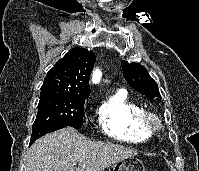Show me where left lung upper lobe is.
I'll return each mask as SVG.
<instances>
[{
	"label": "left lung upper lobe",
	"instance_id": "1",
	"mask_svg": "<svg viewBox=\"0 0 199 171\" xmlns=\"http://www.w3.org/2000/svg\"><path fill=\"white\" fill-rule=\"evenodd\" d=\"M121 65L126 81L135 91L150 99L161 97L157 83L150 77L144 66L126 61H122Z\"/></svg>",
	"mask_w": 199,
	"mask_h": 171
}]
</instances>
